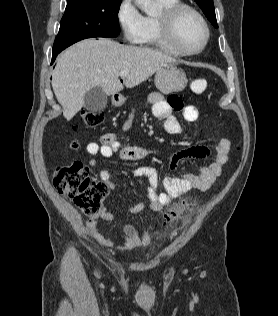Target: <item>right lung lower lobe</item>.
<instances>
[{"instance_id":"obj_1","label":"right lung lower lobe","mask_w":278,"mask_h":316,"mask_svg":"<svg viewBox=\"0 0 278 316\" xmlns=\"http://www.w3.org/2000/svg\"><path fill=\"white\" fill-rule=\"evenodd\" d=\"M60 52H61V51H53V55H52V62H51V63H53V62H54V60H55L56 56H57Z\"/></svg>"}]
</instances>
